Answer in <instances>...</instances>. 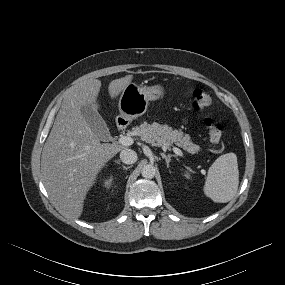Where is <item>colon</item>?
I'll list each match as a JSON object with an SVG mask.
<instances>
[{"label":"colon","mask_w":285,"mask_h":285,"mask_svg":"<svg viewBox=\"0 0 285 285\" xmlns=\"http://www.w3.org/2000/svg\"><path fill=\"white\" fill-rule=\"evenodd\" d=\"M214 102L213 96L202 88H197L192 92V106L196 110H203L210 107ZM205 127L207 137L211 144H218L223 134V126L221 123L211 118H206Z\"/></svg>","instance_id":"obj_1"}]
</instances>
